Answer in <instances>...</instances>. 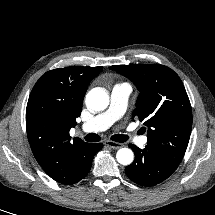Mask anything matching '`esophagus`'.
I'll list each match as a JSON object with an SVG mask.
<instances>
[{
    "label": "esophagus",
    "mask_w": 215,
    "mask_h": 215,
    "mask_svg": "<svg viewBox=\"0 0 215 215\" xmlns=\"http://www.w3.org/2000/svg\"><path fill=\"white\" fill-rule=\"evenodd\" d=\"M104 144L113 149H119V148L123 147L122 143H118V142H114V141H105Z\"/></svg>",
    "instance_id": "obj_1"
}]
</instances>
